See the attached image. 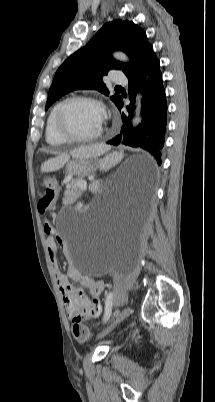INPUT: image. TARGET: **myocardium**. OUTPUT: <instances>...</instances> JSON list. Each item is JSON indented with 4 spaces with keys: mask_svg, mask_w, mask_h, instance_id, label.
Returning <instances> with one entry per match:
<instances>
[{
    "mask_svg": "<svg viewBox=\"0 0 215 402\" xmlns=\"http://www.w3.org/2000/svg\"><path fill=\"white\" fill-rule=\"evenodd\" d=\"M75 102H89L97 105L103 112L105 121H107L108 113L104 103L93 96L87 95H76L69 97L63 100L57 108L56 115H55V127L57 132L69 142H78V143H87L92 142L99 139L104 134V128H101L98 132L88 135V136H79L70 132L64 123V114L66 109Z\"/></svg>",
    "mask_w": 215,
    "mask_h": 402,
    "instance_id": "myocardium-1",
    "label": "myocardium"
}]
</instances>
